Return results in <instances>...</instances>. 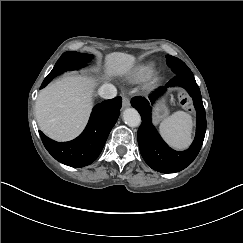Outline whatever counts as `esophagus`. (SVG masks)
Returning <instances> with one entry per match:
<instances>
[{"label": "esophagus", "mask_w": 243, "mask_h": 243, "mask_svg": "<svg viewBox=\"0 0 243 243\" xmlns=\"http://www.w3.org/2000/svg\"><path fill=\"white\" fill-rule=\"evenodd\" d=\"M130 106V100L127 96L123 97V108H127Z\"/></svg>", "instance_id": "34e87169"}]
</instances>
